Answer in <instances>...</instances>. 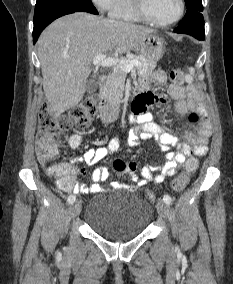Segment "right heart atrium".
Segmentation results:
<instances>
[{
    "label": "right heart atrium",
    "mask_w": 233,
    "mask_h": 284,
    "mask_svg": "<svg viewBox=\"0 0 233 284\" xmlns=\"http://www.w3.org/2000/svg\"><path fill=\"white\" fill-rule=\"evenodd\" d=\"M100 11H109L115 0H91Z\"/></svg>",
    "instance_id": "obj_1"
}]
</instances>
